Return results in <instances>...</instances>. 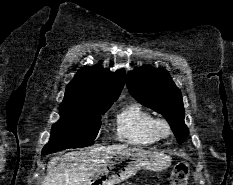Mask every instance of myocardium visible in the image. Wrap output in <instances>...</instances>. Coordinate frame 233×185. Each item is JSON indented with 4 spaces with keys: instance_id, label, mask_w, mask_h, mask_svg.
<instances>
[{
    "instance_id": "obj_1",
    "label": "myocardium",
    "mask_w": 233,
    "mask_h": 185,
    "mask_svg": "<svg viewBox=\"0 0 233 185\" xmlns=\"http://www.w3.org/2000/svg\"><path fill=\"white\" fill-rule=\"evenodd\" d=\"M154 130L159 138H167L171 134L170 124L166 119L163 118L155 119Z\"/></svg>"
}]
</instances>
